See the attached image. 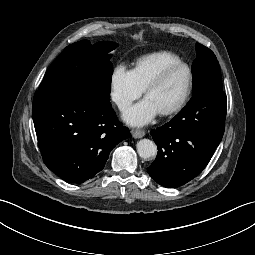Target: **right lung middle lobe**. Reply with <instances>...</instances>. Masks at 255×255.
I'll list each match as a JSON object with an SVG mask.
<instances>
[{
	"mask_svg": "<svg viewBox=\"0 0 255 255\" xmlns=\"http://www.w3.org/2000/svg\"><path fill=\"white\" fill-rule=\"evenodd\" d=\"M116 47L114 42L91 45L88 40L67 46L47 70L39 90L74 89L110 101L113 68L109 52Z\"/></svg>",
	"mask_w": 255,
	"mask_h": 255,
	"instance_id": "obj_1",
	"label": "right lung middle lobe"
}]
</instances>
